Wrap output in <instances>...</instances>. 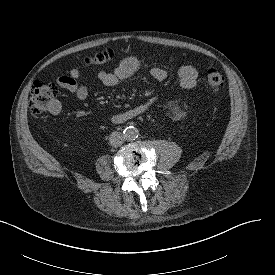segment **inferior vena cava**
I'll use <instances>...</instances> for the list:
<instances>
[{"label":"inferior vena cava","instance_id":"602c4592","mask_svg":"<svg viewBox=\"0 0 275 275\" xmlns=\"http://www.w3.org/2000/svg\"><path fill=\"white\" fill-rule=\"evenodd\" d=\"M124 139L125 138L122 133L115 131L110 135L109 143L113 147H118V146L122 145V143L124 142Z\"/></svg>","mask_w":275,"mask_h":275}]
</instances>
